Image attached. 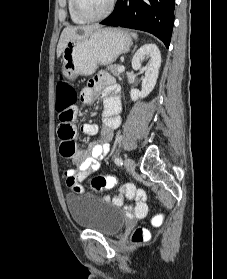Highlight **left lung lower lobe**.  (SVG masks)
I'll use <instances>...</instances> for the list:
<instances>
[{"label":"left lung lower lobe","mask_w":227,"mask_h":279,"mask_svg":"<svg viewBox=\"0 0 227 279\" xmlns=\"http://www.w3.org/2000/svg\"><path fill=\"white\" fill-rule=\"evenodd\" d=\"M175 0H118L112 14L101 24L152 33L169 47Z\"/></svg>","instance_id":"left-lung-lower-lobe-1"}]
</instances>
